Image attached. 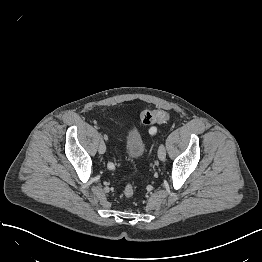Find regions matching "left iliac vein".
Returning <instances> with one entry per match:
<instances>
[{
	"mask_svg": "<svg viewBox=\"0 0 262 262\" xmlns=\"http://www.w3.org/2000/svg\"><path fill=\"white\" fill-rule=\"evenodd\" d=\"M158 158L161 160V161H164L165 158H166V149H165V146L164 144H161L158 148Z\"/></svg>",
	"mask_w": 262,
	"mask_h": 262,
	"instance_id": "left-iliac-vein-1",
	"label": "left iliac vein"
}]
</instances>
